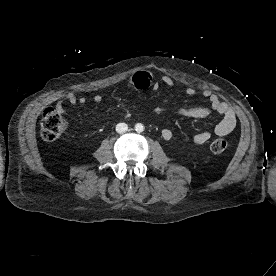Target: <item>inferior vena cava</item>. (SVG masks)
Instances as JSON below:
<instances>
[{
    "instance_id": "obj_1",
    "label": "inferior vena cava",
    "mask_w": 276,
    "mask_h": 276,
    "mask_svg": "<svg viewBox=\"0 0 276 276\" xmlns=\"http://www.w3.org/2000/svg\"><path fill=\"white\" fill-rule=\"evenodd\" d=\"M128 130V125L126 123H118L116 125V131L119 134L125 133Z\"/></svg>"
}]
</instances>
